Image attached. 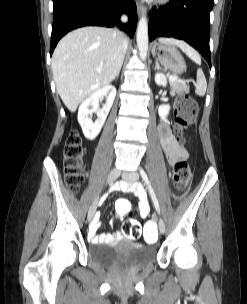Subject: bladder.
Wrapping results in <instances>:
<instances>
[{"label":"bladder","mask_w":247,"mask_h":304,"mask_svg":"<svg viewBox=\"0 0 247 304\" xmlns=\"http://www.w3.org/2000/svg\"><path fill=\"white\" fill-rule=\"evenodd\" d=\"M88 254L92 260L105 267L113 266L121 260L143 266L155 258L156 249L135 243H128L123 247L117 242L96 243L88 247Z\"/></svg>","instance_id":"31cf9c89"}]
</instances>
